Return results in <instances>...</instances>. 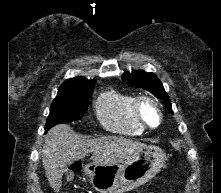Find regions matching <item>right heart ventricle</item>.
Returning <instances> with one entry per match:
<instances>
[{
    "mask_svg": "<svg viewBox=\"0 0 221 193\" xmlns=\"http://www.w3.org/2000/svg\"><path fill=\"white\" fill-rule=\"evenodd\" d=\"M135 97L126 92L108 90L96 102V113L101 124L108 130L136 136L144 131L138 122L134 105Z\"/></svg>",
    "mask_w": 221,
    "mask_h": 193,
    "instance_id": "obj_1",
    "label": "right heart ventricle"
}]
</instances>
